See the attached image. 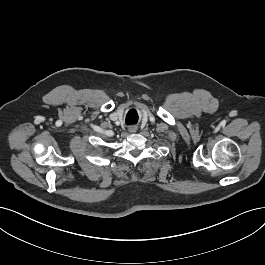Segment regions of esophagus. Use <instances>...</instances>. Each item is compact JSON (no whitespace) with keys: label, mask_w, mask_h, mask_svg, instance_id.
<instances>
[{"label":"esophagus","mask_w":265,"mask_h":265,"mask_svg":"<svg viewBox=\"0 0 265 265\" xmlns=\"http://www.w3.org/2000/svg\"><path fill=\"white\" fill-rule=\"evenodd\" d=\"M136 131H137V128L134 126L129 128V132H131V133H134Z\"/></svg>","instance_id":"34e87169"}]
</instances>
